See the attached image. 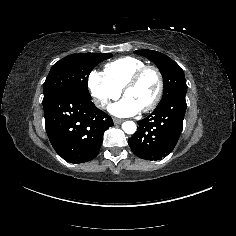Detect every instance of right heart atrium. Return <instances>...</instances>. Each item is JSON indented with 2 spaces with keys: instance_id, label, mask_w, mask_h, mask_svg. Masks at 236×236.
Masks as SVG:
<instances>
[{
  "instance_id": "1",
  "label": "right heart atrium",
  "mask_w": 236,
  "mask_h": 236,
  "mask_svg": "<svg viewBox=\"0 0 236 236\" xmlns=\"http://www.w3.org/2000/svg\"><path fill=\"white\" fill-rule=\"evenodd\" d=\"M88 88L95 105L100 109H106L121 95V91L114 87L105 74L96 70L89 74Z\"/></svg>"
}]
</instances>
